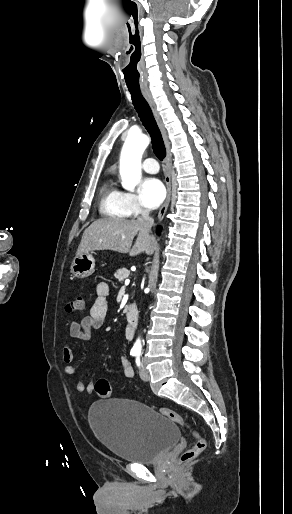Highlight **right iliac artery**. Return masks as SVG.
I'll use <instances>...</instances> for the list:
<instances>
[{
	"instance_id": "obj_1",
	"label": "right iliac artery",
	"mask_w": 292,
	"mask_h": 514,
	"mask_svg": "<svg viewBox=\"0 0 292 514\" xmlns=\"http://www.w3.org/2000/svg\"><path fill=\"white\" fill-rule=\"evenodd\" d=\"M132 356H136L138 353L136 351H131L130 353Z\"/></svg>"
}]
</instances>
